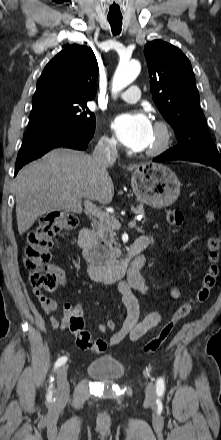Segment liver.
Returning <instances> with one entry per match:
<instances>
[{
    "label": "liver",
    "mask_w": 221,
    "mask_h": 440,
    "mask_svg": "<svg viewBox=\"0 0 221 440\" xmlns=\"http://www.w3.org/2000/svg\"><path fill=\"white\" fill-rule=\"evenodd\" d=\"M107 167L98 168L86 153L57 148L22 168L14 182L19 234L44 214L60 210L81 213L82 198L109 204L114 185Z\"/></svg>",
    "instance_id": "1"
}]
</instances>
